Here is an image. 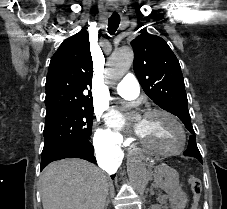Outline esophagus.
I'll list each match as a JSON object with an SVG mask.
<instances>
[{"label":"esophagus","mask_w":227,"mask_h":209,"mask_svg":"<svg viewBox=\"0 0 227 209\" xmlns=\"http://www.w3.org/2000/svg\"><path fill=\"white\" fill-rule=\"evenodd\" d=\"M153 155L150 152H147V155L142 159V164H145L146 168L154 167V162H151Z\"/></svg>","instance_id":"34e87169"}]
</instances>
